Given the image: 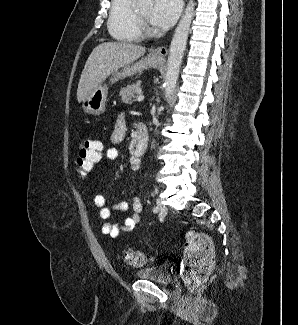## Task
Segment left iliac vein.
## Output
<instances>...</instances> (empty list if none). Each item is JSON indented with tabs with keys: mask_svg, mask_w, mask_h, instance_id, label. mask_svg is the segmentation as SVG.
Listing matches in <instances>:
<instances>
[{
	"mask_svg": "<svg viewBox=\"0 0 298 325\" xmlns=\"http://www.w3.org/2000/svg\"><path fill=\"white\" fill-rule=\"evenodd\" d=\"M156 203H157V208H158L159 213H160L162 216H165L166 213H167V208H166V206L162 203V201H161L160 199H157V200H156Z\"/></svg>",
	"mask_w": 298,
	"mask_h": 325,
	"instance_id": "left-iliac-vein-1",
	"label": "left iliac vein"
}]
</instances>
